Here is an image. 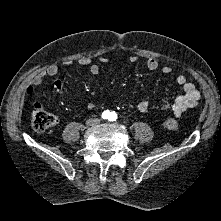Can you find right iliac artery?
<instances>
[{
	"label": "right iliac artery",
	"instance_id": "right-iliac-artery-1",
	"mask_svg": "<svg viewBox=\"0 0 221 221\" xmlns=\"http://www.w3.org/2000/svg\"><path fill=\"white\" fill-rule=\"evenodd\" d=\"M109 115H110L109 111H104V112L102 113V118H103V119H107V118L109 117Z\"/></svg>",
	"mask_w": 221,
	"mask_h": 221
}]
</instances>
